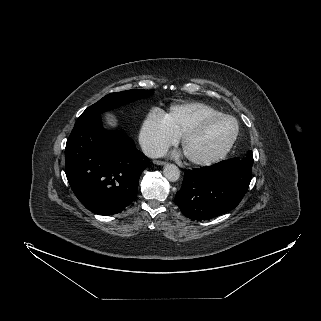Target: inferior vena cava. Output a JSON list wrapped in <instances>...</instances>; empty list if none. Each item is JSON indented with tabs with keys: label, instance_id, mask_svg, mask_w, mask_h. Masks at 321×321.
Returning a JSON list of instances; mask_svg holds the SVG:
<instances>
[{
	"label": "inferior vena cava",
	"instance_id": "inferior-vena-cava-1",
	"mask_svg": "<svg viewBox=\"0 0 321 321\" xmlns=\"http://www.w3.org/2000/svg\"><path fill=\"white\" fill-rule=\"evenodd\" d=\"M141 148L143 153L149 158H159L166 154V151L152 143H142Z\"/></svg>",
	"mask_w": 321,
	"mask_h": 321
}]
</instances>
